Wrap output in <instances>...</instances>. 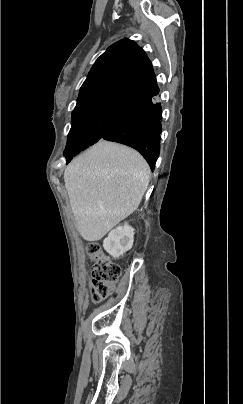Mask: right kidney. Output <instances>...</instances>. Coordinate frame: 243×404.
I'll list each match as a JSON object with an SVG mask.
<instances>
[{"instance_id": "1", "label": "right kidney", "mask_w": 243, "mask_h": 404, "mask_svg": "<svg viewBox=\"0 0 243 404\" xmlns=\"http://www.w3.org/2000/svg\"><path fill=\"white\" fill-rule=\"evenodd\" d=\"M134 234V228H131L128 224L118 226V228L109 232L108 238L103 240V248L113 258H119V256H123L128 250H131Z\"/></svg>"}]
</instances>
